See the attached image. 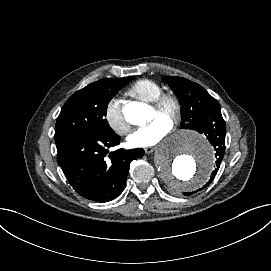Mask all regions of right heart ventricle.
<instances>
[{
  "mask_svg": "<svg viewBox=\"0 0 271 271\" xmlns=\"http://www.w3.org/2000/svg\"><path fill=\"white\" fill-rule=\"evenodd\" d=\"M129 93L137 98L153 103L163 93V87L152 79H140L132 84Z\"/></svg>",
  "mask_w": 271,
  "mask_h": 271,
  "instance_id": "obj_1",
  "label": "right heart ventricle"
}]
</instances>
